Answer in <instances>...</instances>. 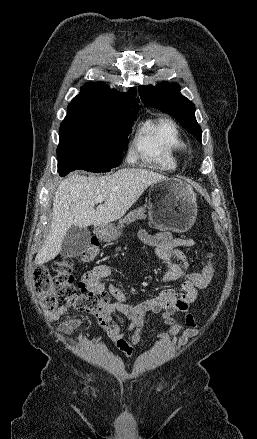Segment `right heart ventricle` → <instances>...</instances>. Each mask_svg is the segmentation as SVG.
<instances>
[{"label": "right heart ventricle", "mask_w": 257, "mask_h": 439, "mask_svg": "<svg viewBox=\"0 0 257 439\" xmlns=\"http://www.w3.org/2000/svg\"><path fill=\"white\" fill-rule=\"evenodd\" d=\"M185 141L176 124L167 118L148 121L137 131L134 150L140 159L157 169L173 170Z\"/></svg>", "instance_id": "right-heart-ventricle-1"}]
</instances>
